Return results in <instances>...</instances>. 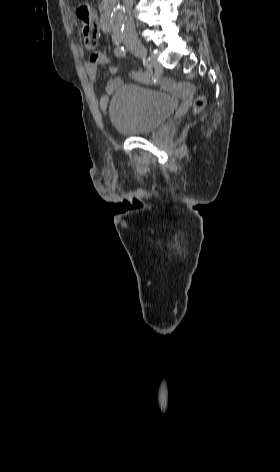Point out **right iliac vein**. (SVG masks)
<instances>
[{"label": "right iliac vein", "mask_w": 280, "mask_h": 472, "mask_svg": "<svg viewBox=\"0 0 280 472\" xmlns=\"http://www.w3.org/2000/svg\"><path fill=\"white\" fill-rule=\"evenodd\" d=\"M124 43L127 46V48L134 53L136 56H138L141 59H146L147 57V50L146 48L142 45V43L139 41V39L135 36H127L124 39Z\"/></svg>", "instance_id": "right-iliac-vein-1"}]
</instances>
